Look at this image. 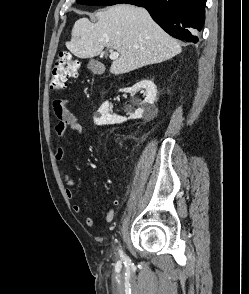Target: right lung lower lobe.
Wrapping results in <instances>:
<instances>
[{
  "label": "right lung lower lobe",
  "instance_id": "right-lung-lower-lobe-1",
  "mask_svg": "<svg viewBox=\"0 0 249 294\" xmlns=\"http://www.w3.org/2000/svg\"><path fill=\"white\" fill-rule=\"evenodd\" d=\"M142 6L153 20L171 36L187 42H198L205 20L206 0H120Z\"/></svg>",
  "mask_w": 249,
  "mask_h": 294
}]
</instances>
